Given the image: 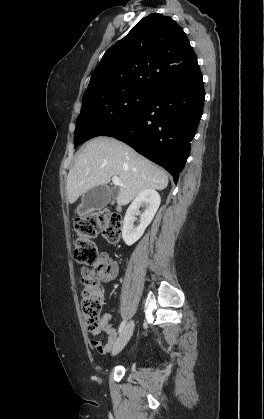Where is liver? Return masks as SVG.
I'll return each mask as SVG.
<instances>
[{
  "label": "liver",
  "instance_id": "6515ba94",
  "mask_svg": "<svg viewBox=\"0 0 264 419\" xmlns=\"http://www.w3.org/2000/svg\"><path fill=\"white\" fill-rule=\"evenodd\" d=\"M117 176L125 185L115 201L126 205L144 190H164L168 185L165 171L155 166L123 142L109 137H96L82 149L67 177V199L73 204L88 190L108 184Z\"/></svg>",
  "mask_w": 264,
  "mask_h": 419
}]
</instances>
